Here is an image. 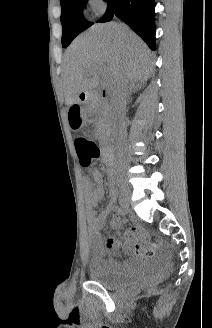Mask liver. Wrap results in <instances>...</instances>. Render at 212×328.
<instances>
[{
	"label": "liver",
	"mask_w": 212,
	"mask_h": 328,
	"mask_svg": "<svg viewBox=\"0 0 212 328\" xmlns=\"http://www.w3.org/2000/svg\"><path fill=\"white\" fill-rule=\"evenodd\" d=\"M108 66L105 86L113 90L120 77L145 82L152 73L149 50L127 26L114 22L94 25L67 48L64 58V95L67 105L102 82L100 68Z\"/></svg>",
	"instance_id": "1"
}]
</instances>
